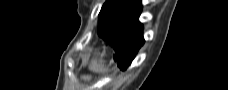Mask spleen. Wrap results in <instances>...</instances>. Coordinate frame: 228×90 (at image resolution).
Returning <instances> with one entry per match:
<instances>
[{"label": "spleen", "instance_id": "obj_1", "mask_svg": "<svg viewBox=\"0 0 228 90\" xmlns=\"http://www.w3.org/2000/svg\"><path fill=\"white\" fill-rule=\"evenodd\" d=\"M89 70L95 73H105L108 68L105 66L104 62H99L96 58L92 59L89 64Z\"/></svg>", "mask_w": 228, "mask_h": 90}]
</instances>
